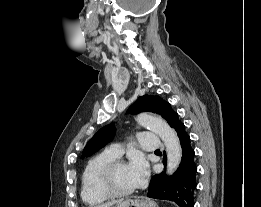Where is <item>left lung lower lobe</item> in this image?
<instances>
[{
	"label": "left lung lower lobe",
	"mask_w": 261,
	"mask_h": 207,
	"mask_svg": "<svg viewBox=\"0 0 261 207\" xmlns=\"http://www.w3.org/2000/svg\"><path fill=\"white\" fill-rule=\"evenodd\" d=\"M182 148V159L179 168L171 176L165 173L151 178L147 196L155 199L169 200L180 207H194V191L196 189L197 166L194 162V150L191 147L190 136L185 131V125L179 121L174 127ZM166 164V157L163 159Z\"/></svg>",
	"instance_id": "left-lung-lower-lobe-1"
}]
</instances>
